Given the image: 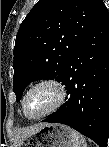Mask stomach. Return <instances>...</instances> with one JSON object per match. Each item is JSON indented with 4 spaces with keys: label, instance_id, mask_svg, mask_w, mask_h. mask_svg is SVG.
Returning <instances> with one entry per match:
<instances>
[{
    "label": "stomach",
    "instance_id": "stomach-1",
    "mask_svg": "<svg viewBox=\"0 0 109 147\" xmlns=\"http://www.w3.org/2000/svg\"><path fill=\"white\" fill-rule=\"evenodd\" d=\"M71 131L72 129L65 125L47 124L23 138L20 147H71Z\"/></svg>",
    "mask_w": 109,
    "mask_h": 147
}]
</instances>
